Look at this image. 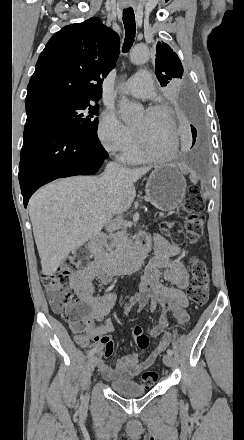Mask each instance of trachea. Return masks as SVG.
Here are the masks:
<instances>
[{
  "label": "trachea",
  "instance_id": "1",
  "mask_svg": "<svg viewBox=\"0 0 244 440\" xmlns=\"http://www.w3.org/2000/svg\"><path fill=\"white\" fill-rule=\"evenodd\" d=\"M123 23L126 32L123 44V52H128L133 45L136 32L135 15L132 8L123 10Z\"/></svg>",
  "mask_w": 244,
  "mask_h": 440
}]
</instances>
